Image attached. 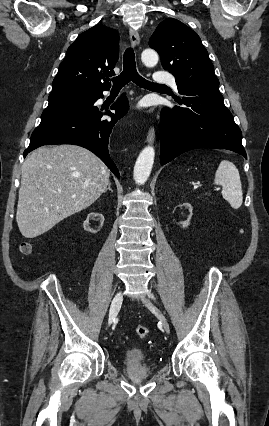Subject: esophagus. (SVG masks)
<instances>
[{"label":"esophagus","instance_id":"esophagus-1","mask_svg":"<svg viewBox=\"0 0 269 426\" xmlns=\"http://www.w3.org/2000/svg\"><path fill=\"white\" fill-rule=\"evenodd\" d=\"M129 38H130V43H131V45L133 46V47H136V46H138V44H139V41H140V39H139V35H138V33L134 30V29H130V31H129ZM154 139H155V130H154V128L153 127H151L149 130H148V133H147V142L148 143H153L154 142Z\"/></svg>","mask_w":269,"mask_h":426}]
</instances>
